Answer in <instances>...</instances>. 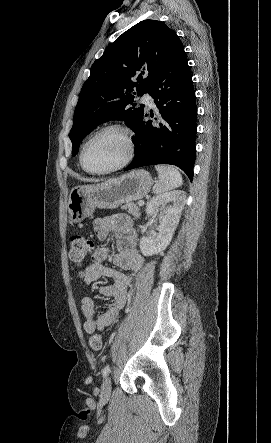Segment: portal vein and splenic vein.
I'll use <instances>...</instances> for the list:
<instances>
[{"label":"portal vein and splenic vein","mask_w":271,"mask_h":443,"mask_svg":"<svg viewBox=\"0 0 271 443\" xmlns=\"http://www.w3.org/2000/svg\"><path fill=\"white\" fill-rule=\"evenodd\" d=\"M144 202H142V200H140V202H138V206H143Z\"/></svg>","instance_id":"18ae733b"}]
</instances>
